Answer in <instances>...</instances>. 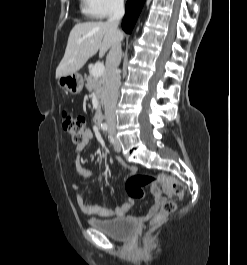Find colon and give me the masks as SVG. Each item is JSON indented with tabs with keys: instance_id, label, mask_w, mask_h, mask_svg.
<instances>
[{
	"instance_id": "1",
	"label": "colon",
	"mask_w": 247,
	"mask_h": 265,
	"mask_svg": "<svg viewBox=\"0 0 247 265\" xmlns=\"http://www.w3.org/2000/svg\"><path fill=\"white\" fill-rule=\"evenodd\" d=\"M62 127L74 143L80 144L85 139L87 129L83 116L63 112ZM147 185L152 187L153 192L169 191L175 195L178 200H181L184 195L183 184L165 177L154 176L148 173H138L127 178L125 182V190L129 197L133 199H142L145 197L144 188ZM175 208L176 201L165 200L161 204L160 212L152 219V224H160L168 214L175 210Z\"/></svg>"
}]
</instances>
